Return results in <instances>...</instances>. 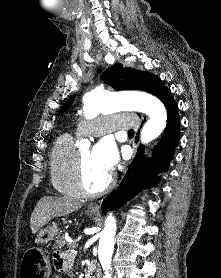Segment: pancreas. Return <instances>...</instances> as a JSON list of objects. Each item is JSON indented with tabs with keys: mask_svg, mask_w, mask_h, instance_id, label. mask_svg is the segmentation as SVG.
Masks as SVG:
<instances>
[{
	"mask_svg": "<svg viewBox=\"0 0 221 278\" xmlns=\"http://www.w3.org/2000/svg\"><path fill=\"white\" fill-rule=\"evenodd\" d=\"M65 244H66L67 247H69V248H70V247H74L73 244L67 243L64 237H59V238L56 239V247L61 248V247H63Z\"/></svg>",
	"mask_w": 221,
	"mask_h": 278,
	"instance_id": "1",
	"label": "pancreas"
}]
</instances>
